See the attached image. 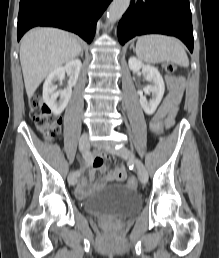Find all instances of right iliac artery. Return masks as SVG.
<instances>
[{"instance_id":"82829eb1","label":"right iliac artery","mask_w":219,"mask_h":258,"mask_svg":"<svg viewBox=\"0 0 219 258\" xmlns=\"http://www.w3.org/2000/svg\"><path fill=\"white\" fill-rule=\"evenodd\" d=\"M83 157H84V159H85V161L87 163V166H88L90 164V162H91V159H92L91 155L88 152H85V153H83ZM74 175L78 176L79 172L78 171L74 172Z\"/></svg>"}]
</instances>
